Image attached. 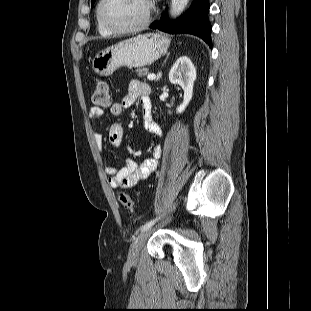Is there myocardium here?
Here are the masks:
<instances>
[{
    "mask_svg": "<svg viewBox=\"0 0 311 311\" xmlns=\"http://www.w3.org/2000/svg\"><path fill=\"white\" fill-rule=\"evenodd\" d=\"M108 0H100L98 7H97V16L100 20V22L112 33H117V34H131V33H136L141 30H143L150 22L151 16H152V11H153V4L151 0H146L147 4V10L144 18L137 24L131 26V27H126V28H120L112 23H110L104 16V6Z\"/></svg>",
    "mask_w": 311,
    "mask_h": 311,
    "instance_id": "myocardium-1",
    "label": "myocardium"
}]
</instances>
